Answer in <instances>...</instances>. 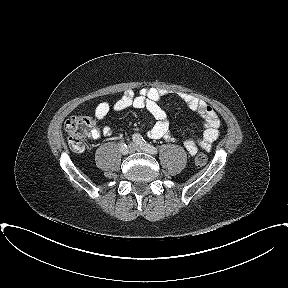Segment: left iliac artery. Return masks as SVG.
I'll use <instances>...</instances> for the list:
<instances>
[{
    "instance_id": "44dca946",
    "label": "left iliac artery",
    "mask_w": 288,
    "mask_h": 288,
    "mask_svg": "<svg viewBox=\"0 0 288 288\" xmlns=\"http://www.w3.org/2000/svg\"><path fill=\"white\" fill-rule=\"evenodd\" d=\"M133 140L134 142L139 145L144 151L150 153V154H157L158 150L156 147H154L153 145L148 144L142 137L140 134H134L133 135Z\"/></svg>"
}]
</instances>
